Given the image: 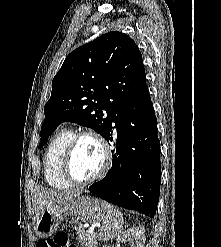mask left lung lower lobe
I'll return each mask as SVG.
<instances>
[{
	"label": "left lung lower lobe",
	"instance_id": "1",
	"mask_svg": "<svg viewBox=\"0 0 221 247\" xmlns=\"http://www.w3.org/2000/svg\"><path fill=\"white\" fill-rule=\"evenodd\" d=\"M114 129L112 167L103 180L88 189L107 202L152 218L159 201L161 164L151 99L119 109L111 120L107 141L113 140Z\"/></svg>",
	"mask_w": 221,
	"mask_h": 247
}]
</instances>
